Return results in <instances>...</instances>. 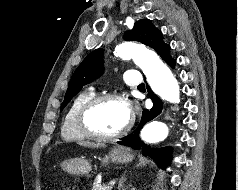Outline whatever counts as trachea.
<instances>
[{
  "label": "trachea",
  "mask_w": 238,
  "mask_h": 190,
  "mask_svg": "<svg viewBox=\"0 0 238 190\" xmlns=\"http://www.w3.org/2000/svg\"><path fill=\"white\" fill-rule=\"evenodd\" d=\"M138 88H145V85L141 84V85L138 86Z\"/></svg>",
  "instance_id": "3493384b"
}]
</instances>
